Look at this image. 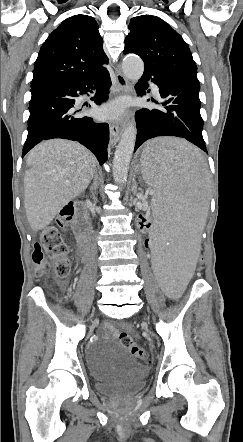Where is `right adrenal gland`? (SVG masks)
<instances>
[{
	"instance_id": "1",
	"label": "right adrenal gland",
	"mask_w": 243,
	"mask_h": 442,
	"mask_svg": "<svg viewBox=\"0 0 243 442\" xmlns=\"http://www.w3.org/2000/svg\"><path fill=\"white\" fill-rule=\"evenodd\" d=\"M99 185V181H98V174H97V170L95 171V177H94V182L91 186V191H94L98 188Z\"/></svg>"
}]
</instances>
